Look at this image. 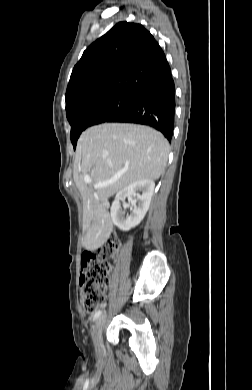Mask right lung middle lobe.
Segmentation results:
<instances>
[{
	"instance_id": "1",
	"label": "right lung middle lobe",
	"mask_w": 252,
	"mask_h": 390,
	"mask_svg": "<svg viewBox=\"0 0 252 390\" xmlns=\"http://www.w3.org/2000/svg\"><path fill=\"white\" fill-rule=\"evenodd\" d=\"M133 100V95H111L77 106L66 113L71 125L70 138L74 149L80 134L86 128L106 122L109 118L127 109Z\"/></svg>"
}]
</instances>
